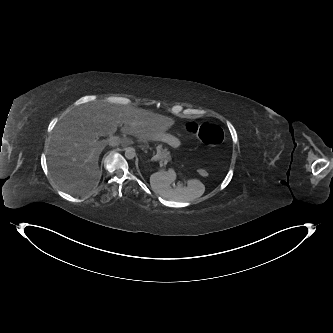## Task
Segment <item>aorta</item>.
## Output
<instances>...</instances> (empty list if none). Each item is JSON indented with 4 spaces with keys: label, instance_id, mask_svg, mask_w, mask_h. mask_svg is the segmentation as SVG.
<instances>
[{
    "label": "aorta",
    "instance_id": "762f6f07",
    "mask_svg": "<svg viewBox=\"0 0 333 333\" xmlns=\"http://www.w3.org/2000/svg\"><path fill=\"white\" fill-rule=\"evenodd\" d=\"M136 156V151H135V149L134 148H132V147H128V148H126V151H125V157L127 158V159H133L134 157Z\"/></svg>",
    "mask_w": 333,
    "mask_h": 333
}]
</instances>
